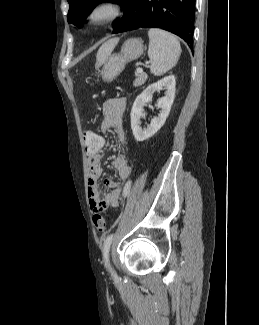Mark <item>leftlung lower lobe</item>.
Returning <instances> with one entry per match:
<instances>
[{
	"label": "left lung lower lobe",
	"instance_id": "1",
	"mask_svg": "<svg viewBox=\"0 0 259 325\" xmlns=\"http://www.w3.org/2000/svg\"><path fill=\"white\" fill-rule=\"evenodd\" d=\"M195 0H129L112 33L161 28L193 46Z\"/></svg>",
	"mask_w": 259,
	"mask_h": 325
}]
</instances>
